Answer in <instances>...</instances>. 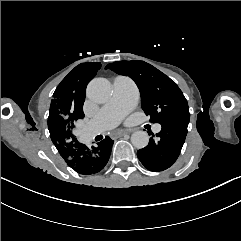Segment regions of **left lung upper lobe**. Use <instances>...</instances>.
I'll return each instance as SVG.
<instances>
[{"label": "left lung upper lobe", "instance_id": "5c2ea615", "mask_svg": "<svg viewBox=\"0 0 241 241\" xmlns=\"http://www.w3.org/2000/svg\"><path fill=\"white\" fill-rule=\"evenodd\" d=\"M114 72L129 76L141 94V107L153 123L189 121L190 113L182 91L164 73L144 61H120L108 64Z\"/></svg>", "mask_w": 241, "mask_h": 241}]
</instances>
